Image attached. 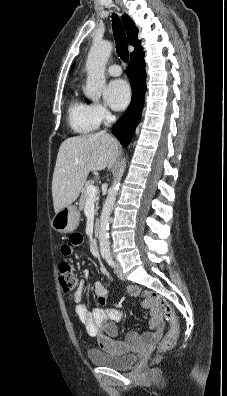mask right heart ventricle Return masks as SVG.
Returning a JSON list of instances; mask_svg holds the SVG:
<instances>
[{"instance_id":"1","label":"right heart ventricle","mask_w":227,"mask_h":396,"mask_svg":"<svg viewBox=\"0 0 227 396\" xmlns=\"http://www.w3.org/2000/svg\"><path fill=\"white\" fill-rule=\"evenodd\" d=\"M68 122L71 129L78 134H87L98 127L94 119L90 105L74 96L68 107Z\"/></svg>"}]
</instances>
